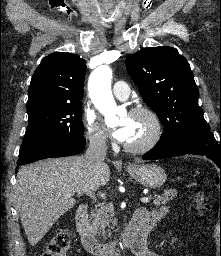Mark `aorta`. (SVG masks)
<instances>
[{"mask_svg":"<svg viewBox=\"0 0 221 256\" xmlns=\"http://www.w3.org/2000/svg\"><path fill=\"white\" fill-rule=\"evenodd\" d=\"M112 70L109 66L97 67L90 75L88 90L95 107L105 116L108 122L116 118L118 107L111 91Z\"/></svg>","mask_w":221,"mask_h":256,"instance_id":"aorta-1","label":"aorta"}]
</instances>
